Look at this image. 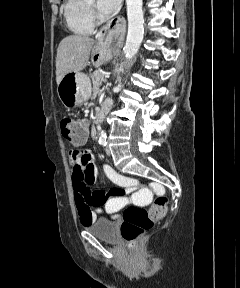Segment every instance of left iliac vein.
Segmentation results:
<instances>
[{
	"label": "left iliac vein",
	"mask_w": 240,
	"mask_h": 288,
	"mask_svg": "<svg viewBox=\"0 0 240 288\" xmlns=\"http://www.w3.org/2000/svg\"><path fill=\"white\" fill-rule=\"evenodd\" d=\"M105 152H106V154H107L108 156L111 155V151H110V148H109L108 146H106Z\"/></svg>",
	"instance_id": "left-iliac-vein-1"
}]
</instances>
